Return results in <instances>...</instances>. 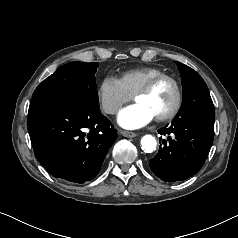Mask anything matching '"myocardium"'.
I'll use <instances>...</instances> for the list:
<instances>
[{"mask_svg": "<svg viewBox=\"0 0 238 238\" xmlns=\"http://www.w3.org/2000/svg\"><path fill=\"white\" fill-rule=\"evenodd\" d=\"M164 80H168L173 84L174 89H175L176 98H175L174 105L170 109L169 112H167L164 115L155 117V119L159 122H165V121H169V120L173 119L181 109L182 102H183V92H182V87H181V84L179 83V81L171 75L161 74V75L155 76L152 79H150L146 84H144L133 95V100H136V98L138 96L145 95V94H148L149 92H151L160 82H162Z\"/></svg>", "mask_w": 238, "mask_h": 238, "instance_id": "1", "label": "myocardium"}]
</instances>
